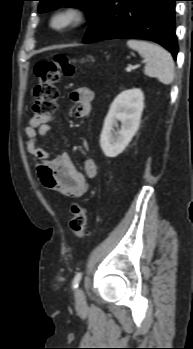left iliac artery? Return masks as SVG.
Segmentation results:
<instances>
[{"instance_id":"1","label":"left iliac artery","mask_w":193,"mask_h":349,"mask_svg":"<svg viewBox=\"0 0 193 349\" xmlns=\"http://www.w3.org/2000/svg\"><path fill=\"white\" fill-rule=\"evenodd\" d=\"M81 278H82V272H78V273L75 275V277H74V279H73V283H72V288H73L74 290L78 288Z\"/></svg>"}]
</instances>
